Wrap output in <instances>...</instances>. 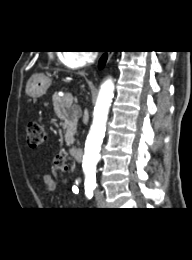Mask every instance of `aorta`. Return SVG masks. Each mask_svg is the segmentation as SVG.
Returning a JSON list of instances; mask_svg holds the SVG:
<instances>
[{"instance_id": "1", "label": "aorta", "mask_w": 192, "mask_h": 260, "mask_svg": "<svg viewBox=\"0 0 192 260\" xmlns=\"http://www.w3.org/2000/svg\"><path fill=\"white\" fill-rule=\"evenodd\" d=\"M114 89L112 78H108L102 83L97 97L93 122L85 143L82 163L86 184H93L96 181V166L100 160V149L105 136L106 122L114 97Z\"/></svg>"}]
</instances>
